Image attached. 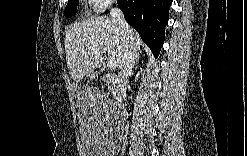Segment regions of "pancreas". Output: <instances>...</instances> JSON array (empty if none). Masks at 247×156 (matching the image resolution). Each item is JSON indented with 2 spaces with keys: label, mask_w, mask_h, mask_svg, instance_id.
Returning a JSON list of instances; mask_svg holds the SVG:
<instances>
[{
  "label": "pancreas",
  "mask_w": 247,
  "mask_h": 156,
  "mask_svg": "<svg viewBox=\"0 0 247 156\" xmlns=\"http://www.w3.org/2000/svg\"><path fill=\"white\" fill-rule=\"evenodd\" d=\"M105 80H109V78H105Z\"/></svg>",
  "instance_id": "obj_1"
}]
</instances>
